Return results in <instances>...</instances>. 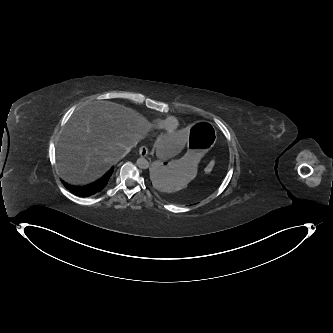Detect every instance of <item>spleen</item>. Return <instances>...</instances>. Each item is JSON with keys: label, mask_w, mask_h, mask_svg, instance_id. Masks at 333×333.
Returning <instances> with one entry per match:
<instances>
[{"label": "spleen", "mask_w": 333, "mask_h": 333, "mask_svg": "<svg viewBox=\"0 0 333 333\" xmlns=\"http://www.w3.org/2000/svg\"><path fill=\"white\" fill-rule=\"evenodd\" d=\"M195 176H196V171H194V177L193 178H195Z\"/></svg>", "instance_id": "1"}]
</instances>
